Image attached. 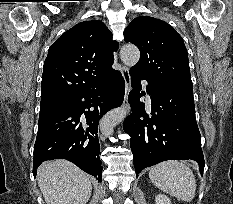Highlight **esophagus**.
<instances>
[{
  "instance_id": "esophagus-1",
  "label": "esophagus",
  "mask_w": 233,
  "mask_h": 204,
  "mask_svg": "<svg viewBox=\"0 0 233 204\" xmlns=\"http://www.w3.org/2000/svg\"><path fill=\"white\" fill-rule=\"evenodd\" d=\"M121 73H122V76H123L124 81H125V96H124L122 106H123V108L128 109V107H129V105H128V94H129V92L131 90V77H130L128 68L125 67V66H123L121 68Z\"/></svg>"
}]
</instances>
